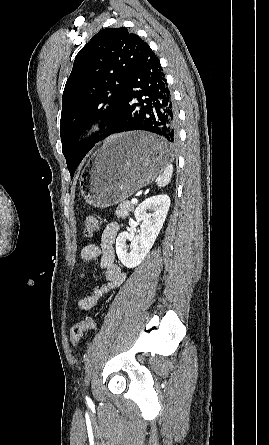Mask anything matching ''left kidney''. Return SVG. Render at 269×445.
<instances>
[{
    "label": "left kidney",
    "mask_w": 269,
    "mask_h": 445,
    "mask_svg": "<svg viewBox=\"0 0 269 445\" xmlns=\"http://www.w3.org/2000/svg\"><path fill=\"white\" fill-rule=\"evenodd\" d=\"M170 207V198L166 194L152 196L143 201L135 210L136 222H141L140 233L122 232L116 239V254L127 268L138 266L152 248ZM131 241L128 251L126 241Z\"/></svg>",
    "instance_id": "5707ae66"
}]
</instances>
